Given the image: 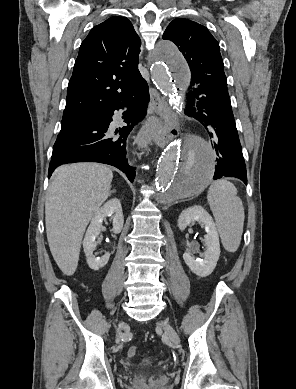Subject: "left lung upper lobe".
<instances>
[{
    "instance_id": "5c2ea615",
    "label": "left lung upper lobe",
    "mask_w": 296,
    "mask_h": 389,
    "mask_svg": "<svg viewBox=\"0 0 296 389\" xmlns=\"http://www.w3.org/2000/svg\"><path fill=\"white\" fill-rule=\"evenodd\" d=\"M163 39L172 41L183 53L191 71V82L210 76L225 77L219 44L202 25L185 18L174 19Z\"/></svg>"
}]
</instances>
